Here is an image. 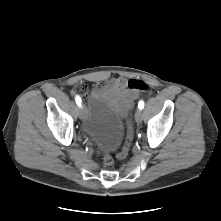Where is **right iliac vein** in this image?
I'll use <instances>...</instances> for the list:
<instances>
[{"label":"right iliac vein","mask_w":221,"mask_h":221,"mask_svg":"<svg viewBox=\"0 0 221 221\" xmlns=\"http://www.w3.org/2000/svg\"><path fill=\"white\" fill-rule=\"evenodd\" d=\"M79 117L81 120H85L86 118V109L84 106H82L80 109H79Z\"/></svg>","instance_id":"obj_1"}]
</instances>
